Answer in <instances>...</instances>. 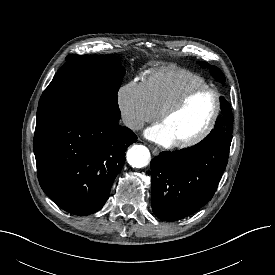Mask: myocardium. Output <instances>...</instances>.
Masks as SVG:
<instances>
[{"label": "myocardium", "mask_w": 275, "mask_h": 275, "mask_svg": "<svg viewBox=\"0 0 275 275\" xmlns=\"http://www.w3.org/2000/svg\"><path fill=\"white\" fill-rule=\"evenodd\" d=\"M202 91H209V92L213 93V95L215 97V107H214L213 113H212L209 121L205 125V127L200 132H198L196 135H194L193 137L188 138V139L174 141L173 144L176 147L187 148V147L194 146V145L198 144L199 142H201L202 140H204L210 134V132L213 130V128L216 124V121L219 117L220 110H221L220 93L218 92L217 89H215L211 86H208V85L197 86V87H194V88L186 91L177 100H175L173 103L168 105L166 108H164L159 113V120H160V122H163L167 117H169L170 115L179 111L188 102V100L191 97H193L194 95H196L197 93L202 92Z\"/></svg>", "instance_id": "f54148a6"}]
</instances>
